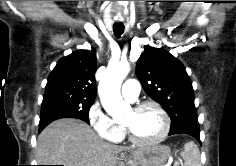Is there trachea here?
<instances>
[{
    "instance_id": "trachea-1",
    "label": "trachea",
    "mask_w": 236,
    "mask_h": 166,
    "mask_svg": "<svg viewBox=\"0 0 236 166\" xmlns=\"http://www.w3.org/2000/svg\"><path fill=\"white\" fill-rule=\"evenodd\" d=\"M113 32L116 38H120L124 32V25L122 23H115L113 25Z\"/></svg>"
}]
</instances>
